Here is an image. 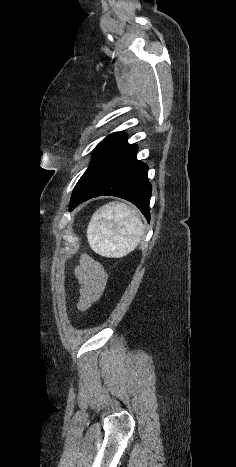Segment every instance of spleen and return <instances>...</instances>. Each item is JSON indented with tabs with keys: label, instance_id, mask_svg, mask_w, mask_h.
I'll use <instances>...</instances> for the list:
<instances>
[{
	"label": "spleen",
	"instance_id": "1",
	"mask_svg": "<svg viewBox=\"0 0 236 467\" xmlns=\"http://www.w3.org/2000/svg\"><path fill=\"white\" fill-rule=\"evenodd\" d=\"M143 235V224L129 206L111 202L97 210L87 227L90 247L105 257L120 258L132 252Z\"/></svg>",
	"mask_w": 236,
	"mask_h": 467
}]
</instances>
